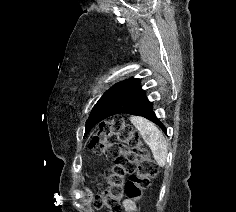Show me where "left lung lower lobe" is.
Masks as SVG:
<instances>
[{"label":"left lung lower lobe","instance_id":"left-lung-lower-lobe-1","mask_svg":"<svg viewBox=\"0 0 236 212\" xmlns=\"http://www.w3.org/2000/svg\"><path fill=\"white\" fill-rule=\"evenodd\" d=\"M120 113L142 116L157 124L167 133L166 127L157 119L153 111V105L146 97L138 78L126 80L120 92L101 113L99 122Z\"/></svg>","mask_w":236,"mask_h":212}]
</instances>
